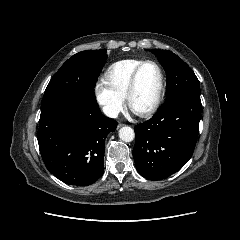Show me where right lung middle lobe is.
<instances>
[{"label":"right lung middle lobe","instance_id":"1","mask_svg":"<svg viewBox=\"0 0 240 240\" xmlns=\"http://www.w3.org/2000/svg\"><path fill=\"white\" fill-rule=\"evenodd\" d=\"M106 58V50L82 51L69 58L50 80L41 108L62 100L96 104L94 87Z\"/></svg>","mask_w":240,"mask_h":240}]
</instances>
